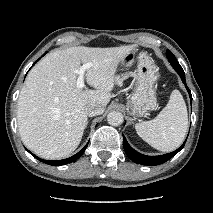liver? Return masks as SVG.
I'll return each mask as SVG.
<instances>
[{"label": "liver", "instance_id": "liver-1", "mask_svg": "<svg viewBox=\"0 0 213 213\" xmlns=\"http://www.w3.org/2000/svg\"><path fill=\"white\" fill-rule=\"evenodd\" d=\"M134 45L95 48L72 47L53 51L29 72L17 107L18 130L24 145L44 159L70 155L80 144L88 123L85 108H104L111 99L119 63ZM87 83L96 90L80 89L76 72L80 64Z\"/></svg>", "mask_w": 213, "mask_h": 213}]
</instances>
